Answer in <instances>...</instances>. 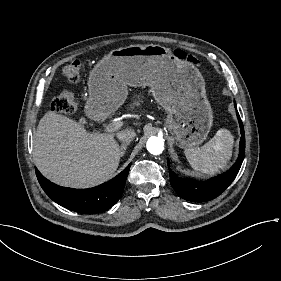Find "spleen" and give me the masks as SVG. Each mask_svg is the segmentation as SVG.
<instances>
[{"label":"spleen","mask_w":281,"mask_h":281,"mask_svg":"<svg viewBox=\"0 0 281 281\" xmlns=\"http://www.w3.org/2000/svg\"><path fill=\"white\" fill-rule=\"evenodd\" d=\"M234 136L227 129H219L215 136L200 148L184 151L191 167L202 173L214 175L227 166L231 159Z\"/></svg>","instance_id":"spleen-1"}]
</instances>
